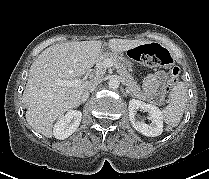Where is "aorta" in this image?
Instances as JSON below:
<instances>
[{
  "instance_id": "obj_1",
  "label": "aorta",
  "mask_w": 209,
  "mask_h": 179,
  "mask_svg": "<svg viewBox=\"0 0 209 179\" xmlns=\"http://www.w3.org/2000/svg\"><path fill=\"white\" fill-rule=\"evenodd\" d=\"M120 85V81L117 77H112L108 81V86L110 89H117Z\"/></svg>"
}]
</instances>
